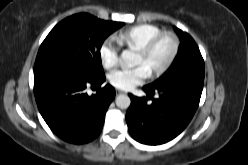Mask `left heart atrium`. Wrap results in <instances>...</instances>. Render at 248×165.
Here are the masks:
<instances>
[{
    "label": "left heart atrium",
    "mask_w": 248,
    "mask_h": 165,
    "mask_svg": "<svg viewBox=\"0 0 248 165\" xmlns=\"http://www.w3.org/2000/svg\"><path fill=\"white\" fill-rule=\"evenodd\" d=\"M151 75L150 70L143 64L133 68L117 69L109 75V82L112 86L129 90L147 80Z\"/></svg>",
    "instance_id": "left-heart-atrium-1"
}]
</instances>
